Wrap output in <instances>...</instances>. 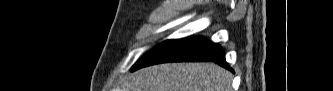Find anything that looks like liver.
Wrapping results in <instances>:
<instances>
[{
  "label": "liver",
  "instance_id": "obj_1",
  "mask_svg": "<svg viewBox=\"0 0 333 91\" xmlns=\"http://www.w3.org/2000/svg\"><path fill=\"white\" fill-rule=\"evenodd\" d=\"M232 75L213 63L161 64L136 71L131 91H231Z\"/></svg>",
  "mask_w": 333,
  "mask_h": 91
}]
</instances>
